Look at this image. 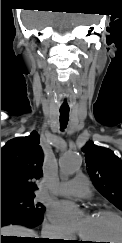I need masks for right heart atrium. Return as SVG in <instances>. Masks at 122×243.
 I'll return each mask as SVG.
<instances>
[{"label":"right heart atrium","mask_w":122,"mask_h":243,"mask_svg":"<svg viewBox=\"0 0 122 243\" xmlns=\"http://www.w3.org/2000/svg\"><path fill=\"white\" fill-rule=\"evenodd\" d=\"M46 233L49 236L55 237V238H63L66 237L62 231L54 224H47L45 227Z\"/></svg>","instance_id":"obj_1"}]
</instances>
